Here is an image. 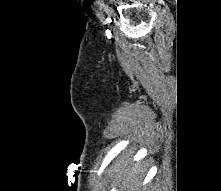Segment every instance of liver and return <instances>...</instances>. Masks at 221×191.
<instances>
[{"label": "liver", "instance_id": "6515ba94", "mask_svg": "<svg viewBox=\"0 0 221 191\" xmlns=\"http://www.w3.org/2000/svg\"><path fill=\"white\" fill-rule=\"evenodd\" d=\"M144 171L140 162L131 164L130 158L117 163L111 174L113 186H118L119 191H135L142 183Z\"/></svg>", "mask_w": 221, "mask_h": 191}]
</instances>
